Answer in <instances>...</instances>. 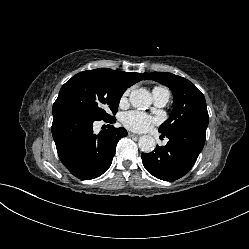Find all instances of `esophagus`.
Returning <instances> with one entry per match:
<instances>
[{
	"instance_id": "1",
	"label": "esophagus",
	"mask_w": 249,
	"mask_h": 249,
	"mask_svg": "<svg viewBox=\"0 0 249 249\" xmlns=\"http://www.w3.org/2000/svg\"><path fill=\"white\" fill-rule=\"evenodd\" d=\"M128 136H129V137H139L140 135H138V134H136V133L129 132V133H128Z\"/></svg>"
}]
</instances>
